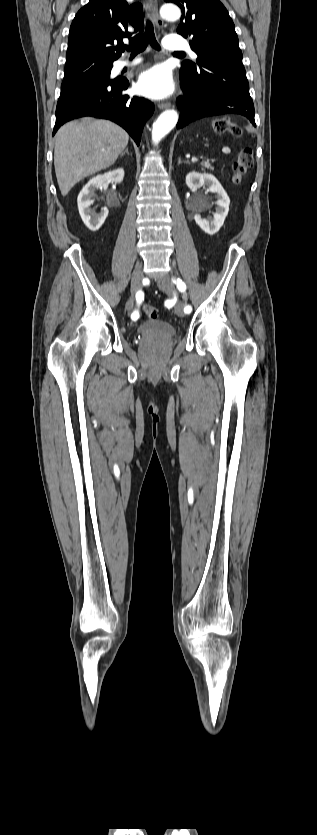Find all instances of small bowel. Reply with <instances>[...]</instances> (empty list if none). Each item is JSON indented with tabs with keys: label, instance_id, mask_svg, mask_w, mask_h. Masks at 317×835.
<instances>
[{
	"label": "small bowel",
	"instance_id": "obj_1",
	"mask_svg": "<svg viewBox=\"0 0 317 835\" xmlns=\"http://www.w3.org/2000/svg\"><path fill=\"white\" fill-rule=\"evenodd\" d=\"M138 306H139V305H138ZM138 306H137V308H136L134 311H138ZM128 307L130 308L129 310H131V309L134 307V302H133L132 306H131V303H129V304H128ZM134 311H133V312H134Z\"/></svg>",
	"mask_w": 317,
	"mask_h": 835
}]
</instances>
